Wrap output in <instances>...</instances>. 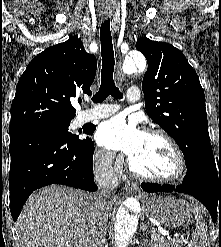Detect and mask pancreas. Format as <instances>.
I'll use <instances>...</instances> for the list:
<instances>
[{
  "instance_id": "cf45deb5",
  "label": "pancreas",
  "mask_w": 221,
  "mask_h": 247,
  "mask_svg": "<svg viewBox=\"0 0 221 247\" xmlns=\"http://www.w3.org/2000/svg\"><path fill=\"white\" fill-rule=\"evenodd\" d=\"M153 247H179L178 239H166L161 233L157 230H152L151 237Z\"/></svg>"
}]
</instances>
